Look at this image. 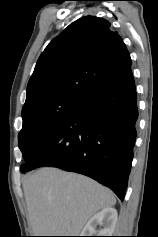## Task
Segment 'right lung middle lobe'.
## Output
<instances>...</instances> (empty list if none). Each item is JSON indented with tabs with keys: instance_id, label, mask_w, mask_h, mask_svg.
Segmentation results:
<instances>
[{
	"instance_id": "right-lung-middle-lobe-1",
	"label": "right lung middle lobe",
	"mask_w": 158,
	"mask_h": 237,
	"mask_svg": "<svg viewBox=\"0 0 158 237\" xmlns=\"http://www.w3.org/2000/svg\"><path fill=\"white\" fill-rule=\"evenodd\" d=\"M70 98H53L22 112L23 127L18 135L19 148L25 164L23 170L41 144L57 130L83 103Z\"/></svg>"
}]
</instances>
